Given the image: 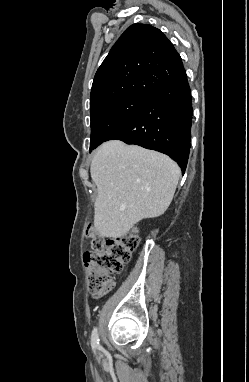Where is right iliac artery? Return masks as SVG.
Here are the masks:
<instances>
[{
    "label": "right iliac artery",
    "instance_id": "1",
    "mask_svg": "<svg viewBox=\"0 0 249 382\" xmlns=\"http://www.w3.org/2000/svg\"><path fill=\"white\" fill-rule=\"evenodd\" d=\"M91 345H92V347H97L99 345L98 330H97V328H94V330L92 332Z\"/></svg>",
    "mask_w": 249,
    "mask_h": 382
}]
</instances>
